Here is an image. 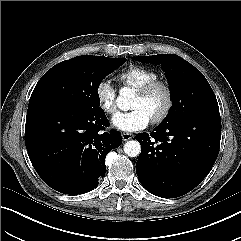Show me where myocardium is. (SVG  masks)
Masks as SVG:
<instances>
[{
	"label": "myocardium",
	"mask_w": 241,
	"mask_h": 241,
	"mask_svg": "<svg viewBox=\"0 0 241 241\" xmlns=\"http://www.w3.org/2000/svg\"><path fill=\"white\" fill-rule=\"evenodd\" d=\"M161 89L165 94V105L162 110L151 118V122L158 124L163 122L170 114L174 105V92L171 85L164 80L156 79L138 88L136 93L141 97H147L154 91Z\"/></svg>",
	"instance_id": "f54148a6"
}]
</instances>
